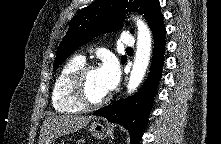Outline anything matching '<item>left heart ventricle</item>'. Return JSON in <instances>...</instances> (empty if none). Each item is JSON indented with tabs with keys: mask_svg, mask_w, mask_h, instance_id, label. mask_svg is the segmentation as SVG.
Segmentation results:
<instances>
[{
	"mask_svg": "<svg viewBox=\"0 0 221 144\" xmlns=\"http://www.w3.org/2000/svg\"><path fill=\"white\" fill-rule=\"evenodd\" d=\"M86 90L90 99L98 100L107 94V91L104 89L98 69L92 70L87 77L86 81Z\"/></svg>",
	"mask_w": 221,
	"mask_h": 144,
	"instance_id": "left-heart-ventricle-1",
	"label": "left heart ventricle"
}]
</instances>
